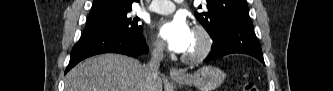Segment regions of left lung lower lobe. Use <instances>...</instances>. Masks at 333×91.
Masks as SVG:
<instances>
[{"mask_svg": "<svg viewBox=\"0 0 333 91\" xmlns=\"http://www.w3.org/2000/svg\"><path fill=\"white\" fill-rule=\"evenodd\" d=\"M212 39L211 52L204 62L232 53H244L257 58L265 64L261 46L255 35L251 20L229 24Z\"/></svg>", "mask_w": 333, "mask_h": 91, "instance_id": "1", "label": "left lung lower lobe"}]
</instances>
